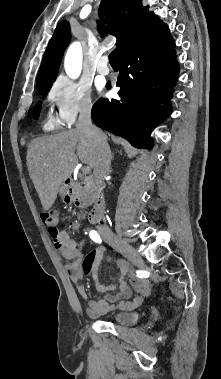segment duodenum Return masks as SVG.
I'll use <instances>...</instances> for the list:
<instances>
[{"mask_svg": "<svg viewBox=\"0 0 221 379\" xmlns=\"http://www.w3.org/2000/svg\"><path fill=\"white\" fill-rule=\"evenodd\" d=\"M75 190H76V185L73 180L68 179L66 181V199L67 202H75L76 201V196H75ZM104 212V198L102 194H98L93 208L88 216V220L90 223H96L98 222Z\"/></svg>", "mask_w": 221, "mask_h": 379, "instance_id": "410a0bca", "label": "duodenum"}]
</instances>
